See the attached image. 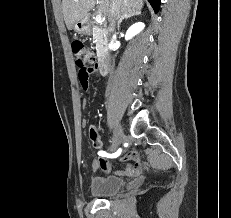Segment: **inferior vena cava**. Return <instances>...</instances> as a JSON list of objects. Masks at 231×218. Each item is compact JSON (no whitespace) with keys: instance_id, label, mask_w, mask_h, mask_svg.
<instances>
[{"instance_id":"602c4592","label":"inferior vena cava","mask_w":231,"mask_h":218,"mask_svg":"<svg viewBox=\"0 0 231 218\" xmlns=\"http://www.w3.org/2000/svg\"><path fill=\"white\" fill-rule=\"evenodd\" d=\"M121 1L120 0H112V6H111V17L109 18L111 22V26L114 27L115 21L120 20L122 17L119 15V9H120ZM119 22V21H118ZM111 31H113V28H111ZM116 36L113 35L111 38V43L115 40Z\"/></svg>"}]
</instances>
